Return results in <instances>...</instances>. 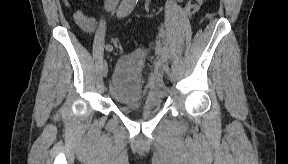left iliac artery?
<instances>
[{"instance_id":"left-iliac-artery-1","label":"left iliac artery","mask_w":288,"mask_h":164,"mask_svg":"<svg viewBox=\"0 0 288 164\" xmlns=\"http://www.w3.org/2000/svg\"><path fill=\"white\" fill-rule=\"evenodd\" d=\"M160 55H161V58H162V59L165 58V56H166V50H165L164 48L161 49Z\"/></svg>"}]
</instances>
